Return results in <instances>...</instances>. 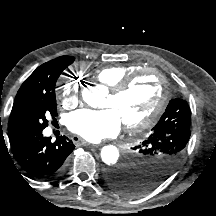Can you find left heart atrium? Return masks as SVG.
Wrapping results in <instances>:
<instances>
[{
  "label": "left heart atrium",
  "mask_w": 216,
  "mask_h": 216,
  "mask_svg": "<svg viewBox=\"0 0 216 216\" xmlns=\"http://www.w3.org/2000/svg\"><path fill=\"white\" fill-rule=\"evenodd\" d=\"M121 119L110 107L102 110L80 109L69 114L67 128L88 141L113 137L121 128Z\"/></svg>",
  "instance_id": "obj_1"
}]
</instances>
